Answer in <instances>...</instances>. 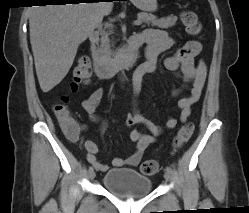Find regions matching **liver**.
I'll list each match as a JSON object with an SVG mask.
<instances>
[{"label": "liver", "instance_id": "1", "mask_svg": "<svg viewBox=\"0 0 249 213\" xmlns=\"http://www.w3.org/2000/svg\"><path fill=\"white\" fill-rule=\"evenodd\" d=\"M112 9V2L33 6L30 9V43L44 93L64 79L79 45Z\"/></svg>", "mask_w": 249, "mask_h": 213}]
</instances>
